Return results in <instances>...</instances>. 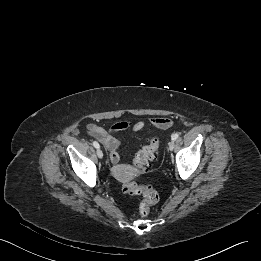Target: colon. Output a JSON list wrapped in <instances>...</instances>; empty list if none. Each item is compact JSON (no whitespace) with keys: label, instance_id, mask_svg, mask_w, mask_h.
Masks as SVG:
<instances>
[{"label":"colon","instance_id":"colon-1","mask_svg":"<svg viewBox=\"0 0 261 261\" xmlns=\"http://www.w3.org/2000/svg\"><path fill=\"white\" fill-rule=\"evenodd\" d=\"M159 141L157 138H152L149 143L140 149L134 157L135 170L143 172L146 170L150 161H152L158 151ZM116 175L121 177L122 173L119 170L115 171ZM122 191L126 195L142 196V201L139 206V212L142 216H147L151 206L158 201L157 192L148 185H138L133 181L125 180L122 184Z\"/></svg>","mask_w":261,"mask_h":261}]
</instances>
